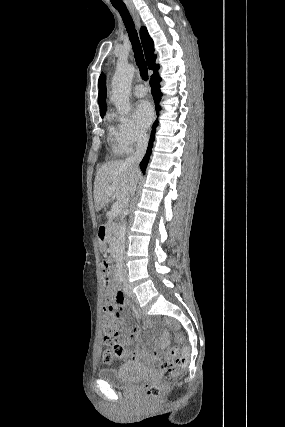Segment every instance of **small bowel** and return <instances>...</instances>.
<instances>
[{
	"instance_id": "obj_1",
	"label": "small bowel",
	"mask_w": 285,
	"mask_h": 427,
	"mask_svg": "<svg viewBox=\"0 0 285 427\" xmlns=\"http://www.w3.org/2000/svg\"><path fill=\"white\" fill-rule=\"evenodd\" d=\"M117 303L120 311L116 315V323L120 328L121 336L124 341L125 351L119 355L117 359L119 361H128L136 363H147L149 354H156V351L149 349L143 350L139 346V342L136 339L138 329L134 328L133 331L128 330L124 326L125 318L128 310L130 309V303L126 296L119 292L117 295Z\"/></svg>"
}]
</instances>
